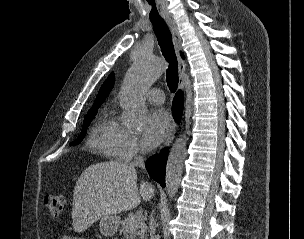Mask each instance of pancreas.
<instances>
[{"instance_id":"cf45deb5","label":"pancreas","mask_w":304,"mask_h":239,"mask_svg":"<svg viewBox=\"0 0 304 239\" xmlns=\"http://www.w3.org/2000/svg\"><path fill=\"white\" fill-rule=\"evenodd\" d=\"M147 229L142 215L130 213L122 221L120 232L124 239H147Z\"/></svg>"}]
</instances>
